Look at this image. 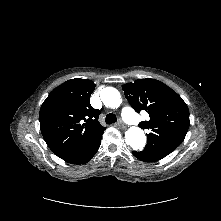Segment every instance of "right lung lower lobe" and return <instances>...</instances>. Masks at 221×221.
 Segmentation results:
<instances>
[{"label": "right lung lower lobe", "mask_w": 221, "mask_h": 221, "mask_svg": "<svg viewBox=\"0 0 221 221\" xmlns=\"http://www.w3.org/2000/svg\"><path fill=\"white\" fill-rule=\"evenodd\" d=\"M103 132L92 137L89 142L79 151L64 158L63 160L70 164H83L88 162L98 151Z\"/></svg>", "instance_id": "obj_1"}]
</instances>
